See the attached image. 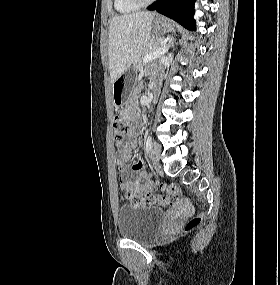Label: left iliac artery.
I'll use <instances>...</instances> for the list:
<instances>
[{
    "label": "left iliac artery",
    "mask_w": 280,
    "mask_h": 285,
    "mask_svg": "<svg viewBox=\"0 0 280 285\" xmlns=\"http://www.w3.org/2000/svg\"><path fill=\"white\" fill-rule=\"evenodd\" d=\"M152 147V137L150 135L147 136L146 139V151L147 153H149V151L151 150Z\"/></svg>",
    "instance_id": "44dca946"
}]
</instances>
